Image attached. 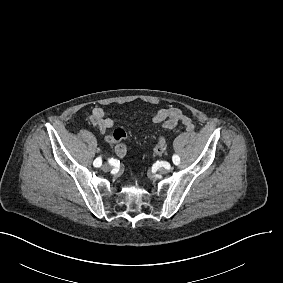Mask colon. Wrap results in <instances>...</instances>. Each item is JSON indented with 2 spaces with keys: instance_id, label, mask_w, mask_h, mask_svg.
<instances>
[{
  "instance_id": "colon-1",
  "label": "colon",
  "mask_w": 283,
  "mask_h": 283,
  "mask_svg": "<svg viewBox=\"0 0 283 283\" xmlns=\"http://www.w3.org/2000/svg\"><path fill=\"white\" fill-rule=\"evenodd\" d=\"M167 140H168V135L162 134L161 138L157 140L154 146V149H153L154 156L159 157L164 153L166 146H167V142H166Z\"/></svg>"
}]
</instances>
